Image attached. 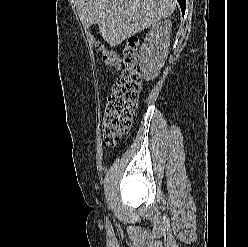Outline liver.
I'll return each mask as SVG.
<instances>
[{
	"instance_id": "liver-1",
	"label": "liver",
	"mask_w": 248,
	"mask_h": 247,
	"mask_svg": "<svg viewBox=\"0 0 248 247\" xmlns=\"http://www.w3.org/2000/svg\"><path fill=\"white\" fill-rule=\"evenodd\" d=\"M76 4L84 29L98 24L99 33L111 47L169 17L176 9V0H76Z\"/></svg>"
}]
</instances>
